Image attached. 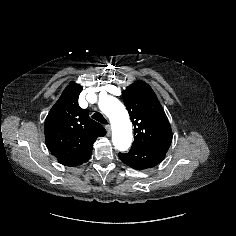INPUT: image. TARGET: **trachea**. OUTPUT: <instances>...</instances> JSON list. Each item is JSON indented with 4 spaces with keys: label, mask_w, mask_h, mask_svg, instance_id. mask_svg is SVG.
Listing matches in <instances>:
<instances>
[{
    "label": "trachea",
    "mask_w": 236,
    "mask_h": 236,
    "mask_svg": "<svg viewBox=\"0 0 236 236\" xmlns=\"http://www.w3.org/2000/svg\"><path fill=\"white\" fill-rule=\"evenodd\" d=\"M92 118L98 122H100L101 124H108L107 123V120L104 118V116L99 113V112H96L92 115Z\"/></svg>",
    "instance_id": "1"
}]
</instances>
